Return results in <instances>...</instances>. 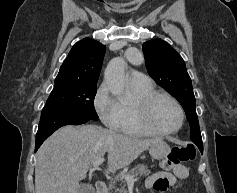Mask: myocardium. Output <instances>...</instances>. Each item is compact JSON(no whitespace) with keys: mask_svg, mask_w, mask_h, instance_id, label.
I'll return each mask as SVG.
<instances>
[{"mask_svg":"<svg viewBox=\"0 0 237 193\" xmlns=\"http://www.w3.org/2000/svg\"><path fill=\"white\" fill-rule=\"evenodd\" d=\"M159 98H167L170 101L174 103V105L177 107L179 114H180V122L179 125L172 130L168 131H162L154 128L153 126L150 125L148 122V116L151 110V107L155 103L156 100ZM134 119L136 125L145 133L153 136H168L175 134L179 132L185 122V112L182 107V105L179 103V101L173 97L172 95L166 93V92H153L150 95L139 99L135 102L134 104Z\"/></svg>","mask_w":237,"mask_h":193,"instance_id":"obj_1","label":"myocardium"}]
</instances>
